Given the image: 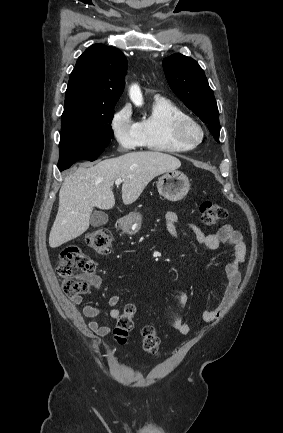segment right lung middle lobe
Here are the masks:
<instances>
[{
	"instance_id": "right-lung-middle-lobe-1",
	"label": "right lung middle lobe",
	"mask_w": 283,
	"mask_h": 433,
	"mask_svg": "<svg viewBox=\"0 0 283 433\" xmlns=\"http://www.w3.org/2000/svg\"><path fill=\"white\" fill-rule=\"evenodd\" d=\"M115 104L78 105L64 109L59 149L103 152L114 137Z\"/></svg>"
}]
</instances>
